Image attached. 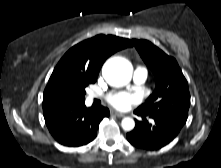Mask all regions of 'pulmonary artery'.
I'll return each mask as SVG.
<instances>
[{"label":"pulmonary artery","mask_w":221,"mask_h":168,"mask_svg":"<svg viewBox=\"0 0 221 168\" xmlns=\"http://www.w3.org/2000/svg\"><path fill=\"white\" fill-rule=\"evenodd\" d=\"M147 78V70L143 67H137L133 74V80L135 84L140 85L145 82ZM95 95H91L90 98L93 99Z\"/></svg>","instance_id":"pulmonary-artery-1"}]
</instances>
